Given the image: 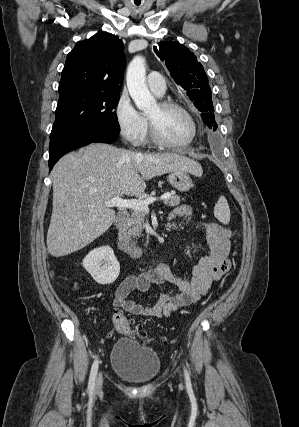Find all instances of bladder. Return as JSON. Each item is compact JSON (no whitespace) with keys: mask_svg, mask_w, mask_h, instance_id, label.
Wrapping results in <instances>:
<instances>
[{"mask_svg":"<svg viewBox=\"0 0 299 427\" xmlns=\"http://www.w3.org/2000/svg\"><path fill=\"white\" fill-rule=\"evenodd\" d=\"M111 363L117 376L135 384L153 380L160 371V358L155 351L130 338L114 344Z\"/></svg>","mask_w":299,"mask_h":427,"instance_id":"obj_1","label":"bladder"}]
</instances>
